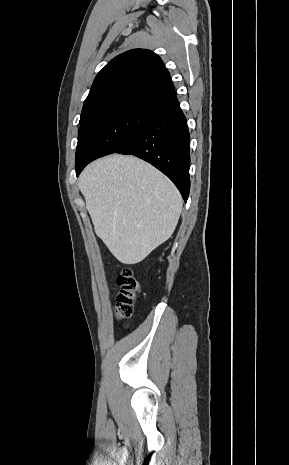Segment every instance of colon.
<instances>
[{
    "label": "colon",
    "instance_id": "obj_1",
    "mask_svg": "<svg viewBox=\"0 0 289 465\" xmlns=\"http://www.w3.org/2000/svg\"><path fill=\"white\" fill-rule=\"evenodd\" d=\"M120 291L116 299V315L119 319L132 316L136 300L140 293V284L131 269H124L117 277Z\"/></svg>",
    "mask_w": 289,
    "mask_h": 465
}]
</instances>
